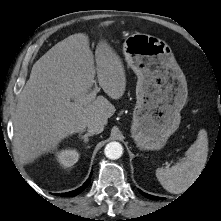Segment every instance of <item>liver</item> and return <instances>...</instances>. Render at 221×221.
I'll return each instance as SVG.
<instances>
[{"label": "liver", "mask_w": 221, "mask_h": 221, "mask_svg": "<svg viewBox=\"0 0 221 221\" xmlns=\"http://www.w3.org/2000/svg\"><path fill=\"white\" fill-rule=\"evenodd\" d=\"M95 61L96 68L88 35L76 33L35 62L14 115V144L22 161L54 150L62 139L84 131L93 120L107 124L116 111L114 105L103 96L88 100L95 71L100 87L115 100L125 92L126 75L121 59L105 40L97 45ZM70 100L72 105L67 106Z\"/></svg>", "instance_id": "liver-1"}]
</instances>
